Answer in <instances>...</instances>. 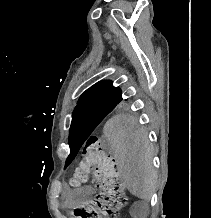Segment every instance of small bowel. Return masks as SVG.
<instances>
[{"mask_svg": "<svg viewBox=\"0 0 211 218\" xmlns=\"http://www.w3.org/2000/svg\"><path fill=\"white\" fill-rule=\"evenodd\" d=\"M93 194L94 190L91 187H65L62 192V197L66 206L75 208L88 203Z\"/></svg>", "mask_w": 211, "mask_h": 218, "instance_id": "obj_1", "label": "small bowel"}]
</instances>
